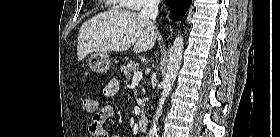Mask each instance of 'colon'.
Segmentation results:
<instances>
[{
	"label": "colon",
	"mask_w": 280,
	"mask_h": 137,
	"mask_svg": "<svg viewBox=\"0 0 280 137\" xmlns=\"http://www.w3.org/2000/svg\"><path fill=\"white\" fill-rule=\"evenodd\" d=\"M84 111L90 115L95 116L99 112V103L94 98H84L82 100ZM96 134H92L91 137H96Z\"/></svg>",
	"instance_id": "1"
}]
</instances>
